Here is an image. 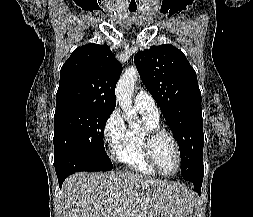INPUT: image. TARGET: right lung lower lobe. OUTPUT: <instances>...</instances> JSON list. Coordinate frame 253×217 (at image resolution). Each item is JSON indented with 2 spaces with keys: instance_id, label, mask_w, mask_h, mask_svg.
<instances>
[{
  "instance_id": "98d812e1",
  "label": "right lung lower lobe",
  "mask_w": 253,
  "mask_h": 217,
  "mask_svg": "<svg viewBox=\"0 0 253 217\" xmlns=\"http://www.w3.org/2000/svg\"><path fill=\"white\" fill-rule=\"evenodd\" d=\"M54 167L59 181V187L67 176L79 171H92L90 162L86 158L77 154H67L54 159Z\"/></svg>"
}]
</instances>
